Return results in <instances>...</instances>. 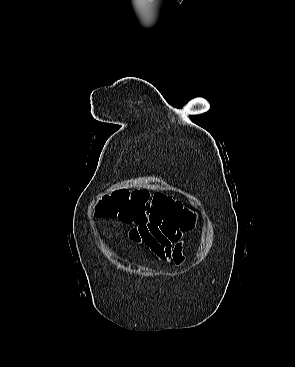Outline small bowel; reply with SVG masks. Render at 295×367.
I'll use <instances>...</instances> for the list:
<instances>
[{
    "label": "small bowel",
    "instance_id": "c3829d8e",
    "mask_svg": "<svg viewBox=\"0 0 295 367\" xmlns=\"http://www.w3.org/2000/svg\"><path fill=\"white\" fill-rule=\"evenodd\" d=\"M128 237L148 249L158 260L180 265L184 259L182 235L186 231L170 221L133 223Z\"/></svg>",
    "mask_w": 295,
    "mask_h": 367
}]
</instances>
